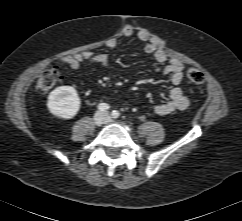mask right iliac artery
<instances>
[{
	"mask_svg": "<svg viewBox=\"0 0 242 221\" xmlns=\"http://www.w3.org/2000/svg\"><path fill=\"white\" fill-rule=\"evenodd\" d=\"M98 109H99L100 111H107V110L109 109V105L106 104V103H100V104L98 105Z\"/></svg>",
	"mask_w": 242,
	"mask_h": 221,
	"instance_id": "82829eb1",
	"label": "right iliac artery"
}]
</instances>
